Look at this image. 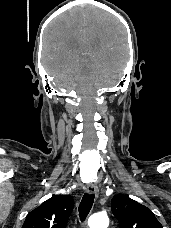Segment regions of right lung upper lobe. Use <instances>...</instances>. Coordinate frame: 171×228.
<instances>
[{
  "mask_svg": "<svg viewBox=\"0 0 171 228\" xmlns=\"http://www.w3.org/2000/svg\"><path fill=\"white\" fill-rule=\"evenodd\" d=\"M73 206L69 195L54 196L31 211L22 228H66Z\"/></svg>",
  "mask_w": 171,
  "mask_h": 228,
  "instance_id": "right-lung-upper-lobe-1",
  "label": "right lung upper lobe"
}]
</instances>
